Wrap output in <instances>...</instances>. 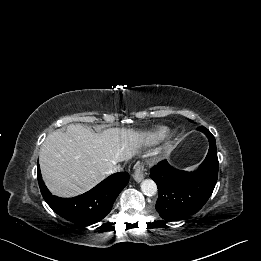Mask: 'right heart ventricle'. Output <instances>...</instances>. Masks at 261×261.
Returning <instances> with one entry per match:
<instances>
[{"label":"right heart ventricle","instance_id":"right-heart-ventricle-1","mask_svg":"<svg viewBox=\"0 0 261 261\" xmlns=\"http://www.w3.org/2000/svg\"><path fill=\"white\" fill-rule=\"evenodd\" d=\"M165 134H166V129L159 128L155 131L148 132L145 136V141L147 143H152V142L158 141L161 138H163L165 136Z\"/></svg>","mask_w":261,"mask_h":261}]
</instances>
